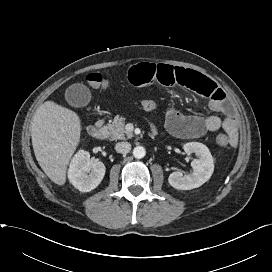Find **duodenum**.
I'll use <instances>...</instances> for the list:
<instances>
[{
    "label": "duodenum",
    "mask_w": 272,
    "mask_h": 272,
    "mask_svg": "<svg viewBox=\"0 0 272 272\" xmlns=\"http://www.w3.org/2000/svg\"><path fill=\"white\" fill-rule=\"evenodd\" d=\"M87 133L90 137L96 140L106 139L107 131L104 127V120H99L97 123L88 126Z\"/></svg>",
    "instance_id": "1"
}]
</instances>
